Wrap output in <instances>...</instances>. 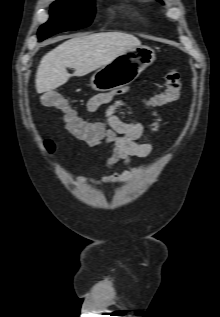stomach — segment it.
Here are the masks:
<instances>
[{"label": "stomach", "instance_id": "stomach-1", "mask_svg": "<svg viewBox=\"0 0 220 317\" xmlns=\"http://www.w3.org/2000/svg\"><path fill=\"white\" fill-rule=\"evenodd\" d=\"M155 60L154 51L146 46L127 50L98 69L90 80L97 91H109L132 83Z\"/></svg>", "mask_w": 220, "mask_h": 317}]
</instances>
